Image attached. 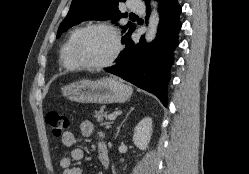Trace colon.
<instances>
[{"instance_id":"colon-1","label":"colon","mask_w":249,"mask_h":174,"mask_svg":"<svg viewBox=\"0 0 249 174\" xmlns=\"http://www.w3.org/2000/svg\"><path fill=\"white\" fill-rule=\"evenodd\" d=\"M46 122L49 125L52 134L56 137L63 136L68 132V129L70 127L69 118L66 115L55 110L49 111L47 113Z\"/></svg>"}]
</instances>
